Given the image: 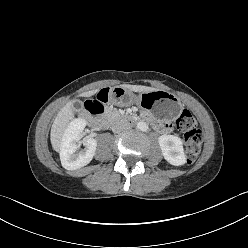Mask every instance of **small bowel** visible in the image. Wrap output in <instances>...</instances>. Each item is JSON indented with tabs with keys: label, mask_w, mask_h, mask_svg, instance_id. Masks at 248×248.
<instances>
[{
	"label": "small bowel",
	"mask_w": 248,
	"mask_h": 248,
	"mask_svg": "<svg viewBox=\"0 0 248 248\" xmlns=\"http://www.w3.org/2000/svg\"><path fill=\"white\" fill-rule=\"evenodd\" d=\"M155 128L159 132H161L163 134H167V133H169L172 130V126L168 122H159V123H156V127Z\"/></svg>",
	"instance_id": "1"
}]
</instances>
